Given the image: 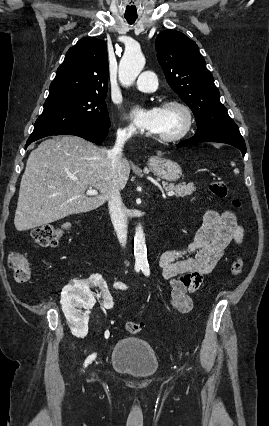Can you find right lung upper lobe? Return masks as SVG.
Returning a JSON list of instances; mask_svg holds the SVG:
<instances>
[{"mask_svg":"<svg viewBox=\"0 0 269 426\" xmlns=\"http://www.w3.org/2000/svg\"><path fill=\"white\" fill-rule=\"evenodd\" d=\"M108 57L106 43L100 39L86 37L71 47L64 62L57 69L49 93L57 91H79L107 93Z\"/></svg>","mask_w":269,"mask_h":426,"instance_id":"obj_1","label":"right lung upper lobe"}]
</instances>
